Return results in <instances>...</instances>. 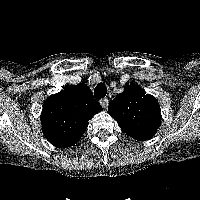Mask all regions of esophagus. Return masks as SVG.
<instances>
[{
	"instance_id": "esophagus-1",
	"label": "esophagus",
	"mask_w": 200,
	"mask_h": 200,
	"mask_svg": "<svg viewBox=\"0 0 200 200\" xmlns=\"http://www.w3.org/2000/svg\"><path fill=\"white\" fill-rule=\"evenodd\" d=\"M99 102L103 108H107L109 100L107 98H102L99 100Z\"/></svg>"
}]
</instances>
